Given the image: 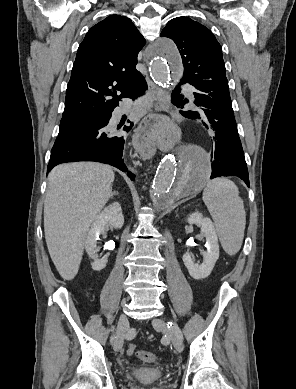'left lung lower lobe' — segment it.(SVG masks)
<instances>
[{"instance_id":"0a47b994","label":"left lung lower lobe","mask_w":296,"mask_h":389,"mask_svg":"<svg viewBox=\"0 0 296 389\" xmlns=\"http://www.w3.org/2000/svg\"><path fill=\"white\" fill-rule=\"evenodd\" d=\"M195 87L194 103L199 106L202 114L197 111H180L189 119L200 120L207 128L214 131L212 136V175L211 179L220 176H237L249 187L248 170L238 135L237 125L232 109L227 80L196 81L190 83ZM179 95V89L172 94V102L183 107L188 102Z\"/></svg>"}]
</instances>
